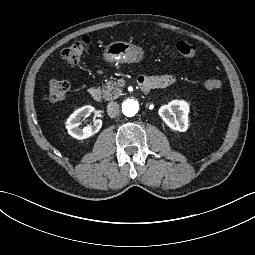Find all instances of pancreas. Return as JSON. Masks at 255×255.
I'll use <instances>...</instances> for the list:
<instances>
[{
    "label": "pancreas",
    "instance_id": "pancreas-1",
    "mask_svg": "<svg viewBox=\"0 0 255 255\" xmlns=\"http://www.w3.org/2000/svg\"><path fill=\"white\" fill-rule=\"evenodd\" d=\"M103 98L107 101L116 100L122 94V89L118 86L117 82L110 77L109 81L103 86Z\"/></svg>",
    "mask_w": 255,
    "mask_h": 255
}]
</instances>
